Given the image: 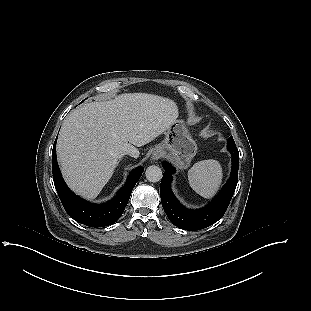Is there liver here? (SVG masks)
Returning a JSON list of instances; mask_svg holds the SVG:
<instances>
[{
    "mask_svg": "<svg viewBox=\"0 0 311 311\" xmlns=\"http://www.w3.org/2000/svg\"><path fill=\"white\" fill-rule=\"evenodd\" d=\"M178 107L168 98L125 93L113 100L86 103L62 125L57 156L67 185L94 199L112 177L118 159L139 157L141 147L177 121Z\"/></svg>",
    "mask_w": 311,
    "mask_h": 311,
    "instance_id": "1",
    "label": "liver"
}]
</instances>
